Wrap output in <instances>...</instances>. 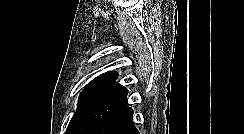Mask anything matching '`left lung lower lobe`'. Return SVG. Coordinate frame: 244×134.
<instances>
[{
    "label": "left lung lower lobe",
    "mask_w": 244,
    "mask_h": 134,
    "mask_svg": "<svg viewBox=\"0 0 244 134\" xmlns=\"http://www.w3.org/2000/svg\"><path fill=\"white\" fill-rule=\"evenodd\" d=\"M94 134H139L133 123V110L127 105L103 122Z\"/></svg>",
    "instance_id": "left-lung-lower-lobe-1"
}]
</instances>
